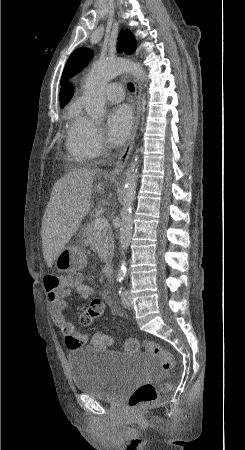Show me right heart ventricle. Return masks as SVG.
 Returning a JSON list of instances; mask_svg holds the SVG:
<instances>
[{
    "label": "right heart ventricle",
    "instance_id": "1",
    "mask_svg": "<svg viewBox=\"0 0 245 450\" xmlns=\"http://www.w3.org/2000/svg\"><path fill=\"white\" fill-rule=\"evenodd\" d=\"M78 115H79V112L77 111L76 108H72V109L69 111V117L71 118V126H70L69 131H68V136H67V142H66V144H67V147H68V149L70 150V152L73 153V154H75V153L71 150V142H72V136H73V123H74L75 119L78 117ZM75 155H76V154H75ZM77 156H78V155H77Z\"/></svg>",
    "mask_w": 245,
    "mask_h": 450
}]
</instances>
